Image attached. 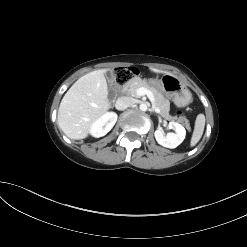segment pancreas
<instances>
[{
	"mask_svg": "<svg viewBox=\"0 0 247 247\" xmlns=\"http://www.w3.org/2000/svg\"><path fill=\"white\" fill-rule=\"evenodd\" d=\"M144 87L150 90L154 95V107L159 109V114L167 119V120H174L177 119L176 117H172L169 114L170 110V102L168 99H166L163 94L157 89V86L153 81L147 82L145 80H142L140 78H133L130 79L128 82H126L123 85V91L127 92L129 95L133 97H138L137 95V89ZM181 121L184 122L186 127L190 129L189 121L186 118H181Z\"/></svg>",
	"mask_w": 247,
	"mask_h": 247,
	"instance_id": "pancreas-1",
	"label": "pancreas"
}]
</instances>
